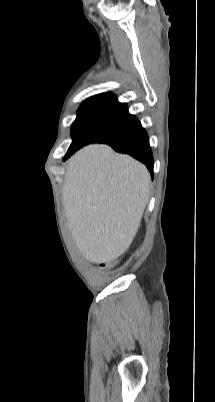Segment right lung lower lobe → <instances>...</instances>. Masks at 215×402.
Returning <instances> with one entry per match:
<instances>
[{"label":"right lung lower lobe","instance_id":"obj_1","mask_svg":"<svg viewBox=\"0 0 215 402\" xmlns=\"http://www.w3.org/2000/svg\"><path fill=\"white\" fill-rule=\"evenodd\" d=\"M106 144L110 145L117 152L129 154L144 163L153 177L154 161L152 151L149 145L148 135L139 121L126 130L121 136L111 142H106ZM83 146L68 152L64 159L70 157Z\"/></svg>","mask_w":215,"mask_h":402}]
</instances>
